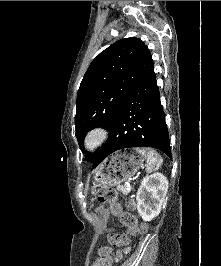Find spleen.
Wrapping results in <instances>:
<instances>
[{
  "instance_id": "spleen-1",
  "label": "spleen",
  "mask_w": 221,
  "mask_h": 266,
  "mask_svg": "<svg viewBox=\"0 0 221 266\" xmlns=\"http://www.w3.org/2000/svg\"><path fill=\"white\" fill-rule=\"evenodd\" d=\"M137 151L145 156V166L148 172H153L160 168L163 159L156 151L153 149H137Z\"/></svg>"
}]
</instances>
